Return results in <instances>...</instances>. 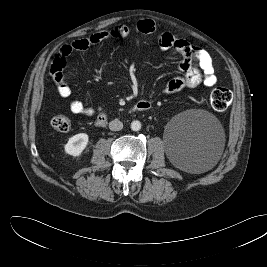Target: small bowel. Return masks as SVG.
Instances as JSON below:
<instances>
[{
  "label": "small bowel",
  "instance_id": "c3829d8e",
  "mask_svg": "<svg viewBox=\"0 0 267 267\" xmlns=\"http://www.w3.org/2000/svg\"><path fill=\"white\" fill-rule=\"evenodd\" d=\"M136 30L142 34H153L156 33L157 29L154 21L143 19L137 23ZM129 34L130 30L126 25L118 24L109 30L98 31L60 48L53 59L50 74L59 95L69 100V109L72 113L92 116L95 111L94 108L86 106L80 100L70 99L72 90L64 81L63 77V70L66 66L67 58L77 51L86 50L91 46L100 44L106 39H125ZM157 47L163 51H170L173 55L181 59L179 64L181 75L167 83L165 93L173 94L183 89H191L200 85L213 87L217 83L212 59L203 48L193 45L186 40L176 38L167 32L159 35Z\"/></svg>",
  "mask_w": 267,
  "mask_h": 267
}]
</instances>
